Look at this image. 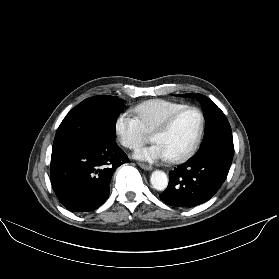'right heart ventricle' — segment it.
I'll return each instance as SVG.
<instances>
[{"mask_svg":"<svg viewBox=\"0 0 279 279\" xmlns=\"http://www.w3.org/2000/svg\"><path fill=\"white\" fill-rule=\"evenodd\" d=\"M186 104L165 100L151 99L139 103L133 110L147 133H152L172 112Z\"/></svg>","mask_w":279,"mask_h":279,"instance_id":"1","label":"right heart ventricle"}]
</instances>
